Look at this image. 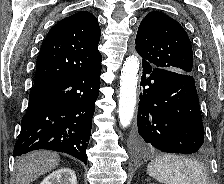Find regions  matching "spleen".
<instances>
[{"label": "spleen", "instance_id": "1", "mask_svg": "<svg viewBox=\"0 0 224 184\" xmlns=\"http://www.w3.org/2000/svg\"><path fill=\"white\" fill-rule=\"evenodd\" d=\"M147 173L164 184H209L200 163L176 155L156 157L148 164Z\"/></svg>", "mask_w": 224, "mask_h": 184}]
</instances>
